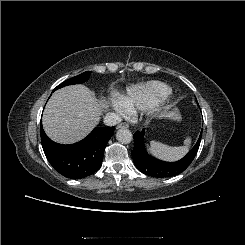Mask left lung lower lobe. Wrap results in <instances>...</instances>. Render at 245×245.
I'll return each mask as SVG.
<instances>
[{"label": "left lung lower lobe", "mask_w": 245, "mask_h": 245, "mask_svg": "<svg viewBox=\"0 0 245 245\" xmlns=\"http://www.w3.org/2000/svg\"><path fill=\"white\" fill-rule=\"evenodd\" d=\"M202 131L195 146L181 160L166 163L153 159L146 151L144 145V129L134 134V148L132 157L135 166L142 173L152 177H172L182 173L193 161L201 142Z\"/></svg>", "instance_id": "obj_1"}]
</instances>
